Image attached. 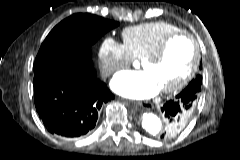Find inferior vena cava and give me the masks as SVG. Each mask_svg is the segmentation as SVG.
<instances>
[{"label": "inferior vena cava", "instance_id": "602c4592", "mask_svg": "<svg viewBox=\"0 0 240 160\" xmlns=\"http://www.w3.org/2000/svg\"><path fill=\"white\" fill-rule=\"evenodd\" d=\"M111 73H112L111 70H104V72H103V74H104L105 76L110 75Z\"/></svg>", "mask_w": 240, "mask_h": 160}]
</instances>
